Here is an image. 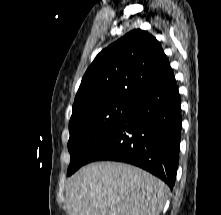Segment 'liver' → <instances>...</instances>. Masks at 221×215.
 Returning a JSON list of instances; mask_svg holds the SVG:
<instances>
[{"instance_id": "obj_1", "label": "liver", "mask_w": 221, "mask_h": 215, "mask_svg": "<svg viewBox=\"0 0 221 215\" xmlns=\"http://www.w3.org/2000/svg\"><path fill=\"white\" fill-rule=\"evenodd\" d=\"M167 185L152 174L124 163L97 162L67 183L69 215H159Z\"/></svg>"}]
</instances>
